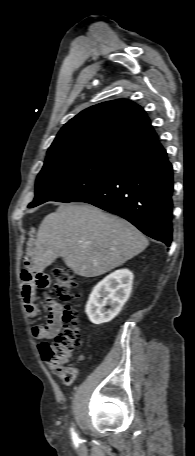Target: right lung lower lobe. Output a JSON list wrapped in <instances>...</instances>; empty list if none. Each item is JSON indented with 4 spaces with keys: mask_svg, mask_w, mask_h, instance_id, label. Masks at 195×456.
Wrapping results in <instances>:
<instances>
[{
    "mask_svg": "<svg viewBox=\"0 0 195 456\" xmlns=\"http://www.w3.org/2000/svg\"><path fill=\"white\" fill-rule=\"evenodd\" d=\"M173 168L164 148L125 164L100 187L76 199L117 214L170 246Z\"/></svg>",
    "mask_w": 195,
    "mask_h": 456,
    "instance_id": "1",
    "label": "right lung lower lobe"
}]
</instances>
